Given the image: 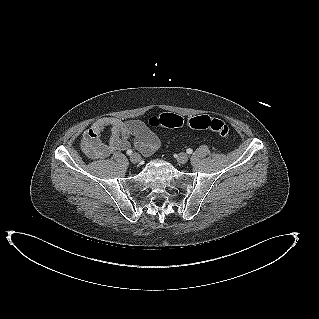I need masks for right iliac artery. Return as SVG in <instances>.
Listing matches in <instances>:
<instances>
[{"label": "right iliac artery", "mask_w": 319, "mask_h": 319, "mask_svg": "<svg viewBox=\"0 0 319 319\" xmlns=\"http://www.w3.org/2000/svg\"><path fill=\"white\" fill-rule=\"evenodd\" d=\"M133 153V151L130 149L126 152V154L131 155Z\"/></svg>", "instance_id": "1"}]
</instances>
